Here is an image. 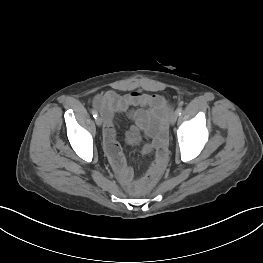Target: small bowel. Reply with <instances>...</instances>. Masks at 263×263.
I'll return each mask as SVG.
<instances>
[{"label": "small bowel", "mask_w": 263, "mask_h": 263, "mask_svg": "<svg viewBox=\"0 0 263 263\" xmlns=\"http://www.w3.org/2000/svg\"><path fill=\"white\" fill-rule=\"evenodd\" d=\"M93 105L98 109L104 118V148L109 161L116 172L121 183L131 187L133 172L127 166L121 146L116 140L114 116L117 113H128L135 121L127 133V140L130 144L140 142V132L147 137L142 145L144 153L155 151L154 161L149 172H160L167 161V116L169 108L163 97L155 94H146L140 91H133L126 94H119L109 90L94 98Z\"/></svg>", "instance_id": "small-bowel-1"}]
</instances>
